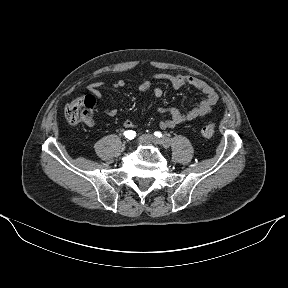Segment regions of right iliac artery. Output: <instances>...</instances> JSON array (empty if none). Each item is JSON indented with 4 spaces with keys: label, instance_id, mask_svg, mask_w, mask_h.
Listing matches in <instances>:
<instances>
[{
    "label": "right iliac artery",
    "instance_id": "obj_1",
    "mask_svg": "<svg viewBox=\"0 0 288 288\" xmlns=\"http://www.w3.org/2000/svg\"><path fill=\"white\" fill-rule=\"evenodd\" d=\"M124 135L126 138L131 140V139H134V137L136 136V132L132 130H128L124 132Z\"/></svg>",
    "mask_w": 288,
    "mask_h": 288
}]
</instances>
